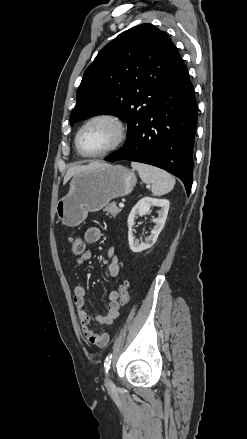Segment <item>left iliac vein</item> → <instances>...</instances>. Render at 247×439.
Masks as SVG:
<instances>
[{
  "instance_id": "1",
  "label": "left iliac vein",
  "mask_w": 247,
  "mask_h": 439,
  "mask_svg": "<svg viewBox=\"0 0 247 439\" xmlns=\"http://www.w3.org/2000/svg\"><path fill=\"white\" fill-rule=\"evenodd\" d=\"M105 384H106L107 387H111L112 386V382H111V380L108 377L106 378Z\"/></svg>"
}]
</instances>
